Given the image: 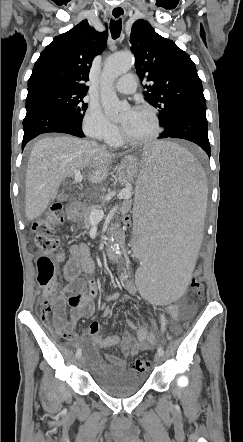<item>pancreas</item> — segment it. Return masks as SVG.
<instances>
[{
	"label": "pancreas",
	"mask_w": 243,
	"mask_h": 442,
	"mask_svg": "<svg viewBox=\"0 0 243 442\" xmlns=\"http://www.w3.org/2000/svg\"><path fill=\"white\" fill-rule=\"evenodd\" d=\"M130 206H131V201H129V200L124 201L121 204L120 211L123 212V213L127 212V211H129ZM94 209H96V208L95 207H88L87 209L84 210L83 220H84L85 228H89L91 226L90 213Z\"/></svg>",
	"instance_id": "obj_1"
}]
</instances>
